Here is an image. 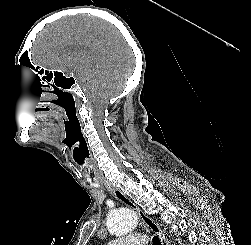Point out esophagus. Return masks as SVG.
<instances>
[{
	"mask_svg": "<svg viewBox=\"0 0 251 245\" xmlns=\"http://www.w3.org/2000/svg\"><path fill=\"white\" fill-rule=\"evenodd\" d=\"M103 183L119 201L133 208L138 213V216L141 219L142 223L145 224L147 227H149L153 232H155L159 236L162 245H171V242L167 238L165 231L161 229V227L158 225V223L154 219L146 215L144 211L141 209V207L136 205L121 190L113 186L110 181L104 180Z\"/></svg>",
	"mask_w": 251,
	"mask_h": 245,
	"instance_id": "34e87169",
	"label": "esophagus"
}]
</instances>
